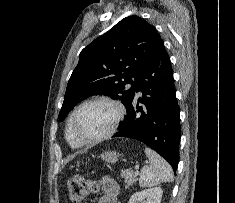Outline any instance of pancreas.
I'll use <instances>...</instances> for the list:
<instances>
[{
  "mask_svg": "<svg viewBox=\"0 0 235 203\" xmlns=\"http://www.w3.org/2000/svg\"><path fill=\"white\" fill-rule=\"evenodd\" d=\"M121 176L125 179V183L129 186L132 185L134 182L137 181V173L133 172L132 170H122Z\"/></svg>",
  "mask_w": 235,
  "mask_h": 203,
  "instance_id": "pancreas-1",
  "label": "pancreas"
}]
</instances>
